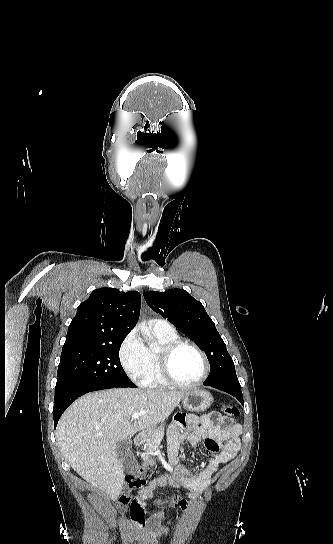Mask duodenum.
Masks as SVG:
<instances>
[{
    "label": "duodenum",
    "instance_id": "duodenum-1",
    "mask_svg": "<svg viewBox=\"0 0 333 544\" xmlns=\"http://www.w3.org/2000/svg\"><path fill=\"white\" fill-rule=\"evenodd\" d=\"M145 439H146V434L140 433L135 437L134 443L136 446H140L144 443Z\"/></svg>",
    "mask_w": 333,
    "mask_h": 544
}]
</instances>
